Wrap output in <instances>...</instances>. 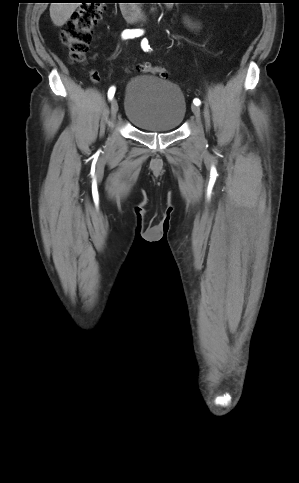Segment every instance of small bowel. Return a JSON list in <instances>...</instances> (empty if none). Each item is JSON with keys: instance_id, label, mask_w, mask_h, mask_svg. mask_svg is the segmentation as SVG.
I'll list each match as a JSON object with an SVG mask.
<instances>
[{"instance_id": "c3829d8e", "label": "small bowel", "mask_w": 299, "mask_h": 483, "mask_svg": "<svg viewBox=\"0 0 299 483\" xmlns=\"http://www.w3.org/2000/svg\"><path fill=\"white\" fill-rule=\"evenodd\" d=\"M187 25H188V27H189L190 29H196V28H197V24H196V23H194V22H192V21H189V20H187ZM91 77H92V79H93V80H95V81H96V80H98V78H99V77H98V73H97L95 70H92V71H91Z\"/></svg>"}]
</instances>
